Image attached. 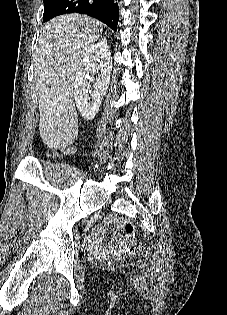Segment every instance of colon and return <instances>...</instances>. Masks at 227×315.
I'll use <instances>...</instances> for the list:
<instances>
[{
  "label": "colon",
  "instance_id": "5ec220e1",
  "mask_svg": "<svg viewBox=\"0 0 227 315\" xmlns=\"http://www.w3.org/2000/svg\"><path fill=\"white\" fill-rule=\"evenodd\" d=\"M54 154V152H51ZM119 226L128 242L127 252L130 255H136L140 248V241L135 237V226L133 222L127 218H120L118 220Z\"/></svg>",
  "mask_w": 227,
  "mask_h": 315
}]
</instances>
